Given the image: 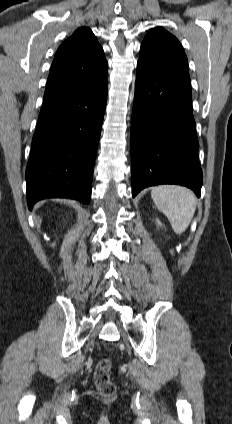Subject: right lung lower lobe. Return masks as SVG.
Wrapping results in <instances>:
<instances>
[{"instance_id": "98d812e1", "label": "right lung lower lobe", "mask_w": 232, "mask_h": 424, "mask_svg": "<svg viewBox=\"0 0 232 424\" xmlns=\"http://www.w3.org/2000/svg\"><path fill=\"white\" fill-rule=\"evenodd\" d=\"M107 81L43 99L26 169L29 209L45 198L90 203Z\"/></svg>"}]
</instances>
